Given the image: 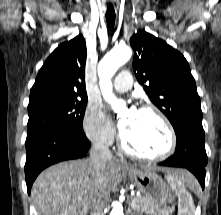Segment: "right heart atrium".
<instances>
[{
	"instance_id": "d8ad5b80",
	"label": "right heart atrium",
	"mask_w": 221,
	"mask_h": 215,
	"mask_svg": "<svg viewBox=\"0 0 221 215\" xmlns=\"http://www.w3.org/2000/svg\"><path fill=\"white\" fill-rule=\"evenodd\" d=\"M83 129L88 139L99 145H110L116 136L114 126L99 104H89L86 108Z\"/></svg>"
}]
</instances>
